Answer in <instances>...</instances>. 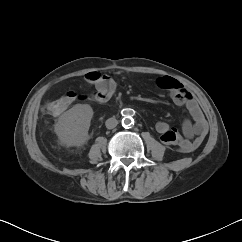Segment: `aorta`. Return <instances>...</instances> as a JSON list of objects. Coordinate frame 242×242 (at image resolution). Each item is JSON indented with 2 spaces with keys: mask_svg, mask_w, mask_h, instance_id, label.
Here are the masks:
<instances>
[{
  "mask_svg": "<svg viewBox=\"0 0 242 242\" xmlns=\"http://www.w3.org/2000/svg\"><path fill=\"white\" fill-rule=\"evenodd\" d=\"M122 126L127 128L130 127L132 124H134L133 119V110L132 109H125L122 113Z\"/></svg>",
  "mask_w": 242,
  "mask_h": 242,
  "instance_id": "762f6f07",
  "label": "aorta"
}]
</instances>
